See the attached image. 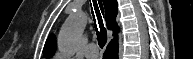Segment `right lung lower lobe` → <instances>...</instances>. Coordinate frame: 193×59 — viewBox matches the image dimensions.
<instances>
[{
  "mask_svg": "<svg viewBox=\"0 0 193 59\" xmlns=\"http://www.w3.org/2000/svg\"><path fill=\"white\" fill-rule=\"evenodd\" d=\"M104 59H118V40L114 39L107 46L103 56Z\"/></svg>",
  "mask_w": 193,
  "mask_h": 59,
  "instance_id": "right-lung-lower-lobe-1",
  "label": "right lung lower lobe"
}]
</instances>
